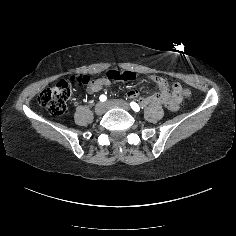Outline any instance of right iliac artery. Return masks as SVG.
I'll return each instance as SVG.
<instances>
[{"mask_svg": "<svg viewBox=\"0 0 236 236\" xmlns=\"http://www.w3.org/2000/svg\"><path fill=\"white\" fill-rule=\"evenodd\" d=\"M99 99H100L101 102H104V101H106L107 97L105 95H101L99 97Z\"/></svg>", "mask_w": 236, "mask_h": 236, "instance_id": "right-iliac-artery-1", "label": "right iliac artery"}]
</instances>
